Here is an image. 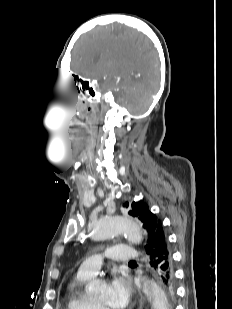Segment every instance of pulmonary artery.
I'll return each mask as SVG.
<instances>
[{
  "label": "pulmonary artery",
  "instance_id": "pulmonary-artery-1",
  "mask_svg": "<svg viewBox=\"0 0 232 309\" xmlns=\"http://www.w3.org/2000/svg\"><path fill=\"white\" fill-rule=\"evenodd\" d=\"M139 256V253L131 247L125 245L112 246L105 251H96L85 259L81 263L78 273L86 277L95 276L102 265L103 257H106L109 260L126 263L129 260L138 258Z\"/></svg>",
  "mask_w": 232,
  "mask_h": 309
}]
</instances>
